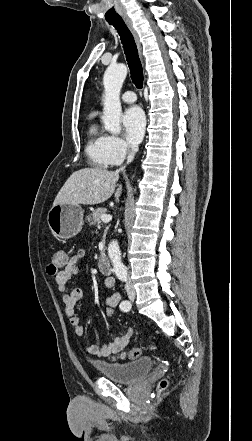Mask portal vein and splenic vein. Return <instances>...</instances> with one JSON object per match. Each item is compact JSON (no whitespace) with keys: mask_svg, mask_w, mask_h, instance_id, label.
Wrapping results in <instances>:
<instances>
[{"mask_svg":"<svg viewBox=\"0 0 252 441\" xmlns=\"http://www.w3.org/2000/svg\"><path fill=\"white\" fill-rule=\"evenodd\" d=\"M101 220L104 223H108V222H110L112 220V216L108 215V214H104V215L101 216Z\"/></svg>","mask_w":252,"mask_h":441,"instance_id":"18ae733b","label":"portal vein and splenic vein"}]
</instances>
